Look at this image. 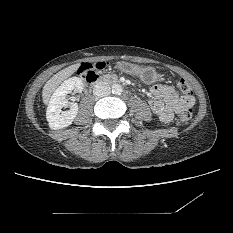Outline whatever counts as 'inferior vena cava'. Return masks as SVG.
<instances>
[{
	"instance_id": "inferior-vena-cava-1",
	"label": "inferior vena cava",
	"mask_w": 233,
	"mask_h": 233,
	"mask_svg": "<svg viewBox=\"0 0 233 233\" xmlns=\"http://www.w3.org/2000/svg\"><path fill=\"white\" fill-rule=\"evenodd\" d=\"M111 92L110 86L105 82H99L94 86L93 94L96 97H104Z\"/></svg>"
}]
</instances>
